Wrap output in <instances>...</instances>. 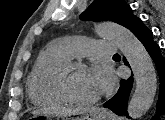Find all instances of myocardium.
Returning a JSON list of instances; mask_svg holds the SVG:
<instances>
[{
    "label": "myocardium",
    "instance_id": "f54148a6",
    "mask_svg": "<svg viewBox=\"0 0 165 120\" xmlns=\"http://www.w3.org/2000/svg\"><path fill=\"white\" fill-rule=\"evenodd\" d=\"M87 69V65L80 61H69L60 70L57 78V89L60 95L67 101L80 105H93L100 101L101 96L85 99L75 96L69 87L70 75L75 70Z\"/></svg>",
    "mask_w": 165,
    "mask_h": 120
}]
</instances>
